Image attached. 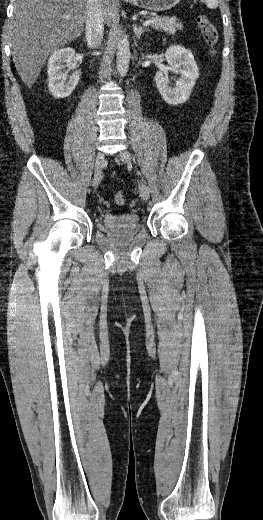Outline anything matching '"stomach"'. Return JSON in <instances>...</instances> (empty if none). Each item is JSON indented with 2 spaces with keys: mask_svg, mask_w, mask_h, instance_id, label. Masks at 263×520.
<instances>
[{
  "mask_svg": "<svg viewBox=\"0 0 263 520\" xmlns=\"http://www.w3.org/2000/svg\"><path fill=\"white\" fill-rule=\"evenodd\" d=\"M127 2L144 9L160 12L175 7L180 0H126Z\"/></svg>",
  "mask_w": 263,
  "mask_h": 520,
  "instance_id": "obj_1",
  "label": "stomach"
}]
</instances>
